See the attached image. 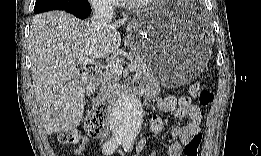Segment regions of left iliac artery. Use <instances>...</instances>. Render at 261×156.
<instances>
[{"mask_svg": "<svg viewBox=\"0 0 261 156\" xmlns=\"http://www.w3.org/2000/svg\"><path fill=\"white\" fill-rule=\"evenodd\" d=\"M131 143H132V141L127 140V139L122 141V145H123L125 150H129L131 148Z\"/></svg>", "mask_w": 261, "mask_h": 156, "instance_id": "44dca946", "label": "left iliac artery"}]
</instances>
